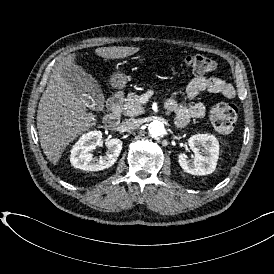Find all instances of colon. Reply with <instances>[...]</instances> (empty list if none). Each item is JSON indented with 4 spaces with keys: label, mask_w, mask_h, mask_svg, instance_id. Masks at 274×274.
<instances>
[{
    "label": "colon",
    "mask_w": 274,
    "mask_h": 274,
    "mask_svg": "<svg viewBox=\"0 0 274 274\" xmlns=\"http://www.w3.org/2000/svg\"><path fill=\"white\" fill-rule=\"evenodd\" d=\"M185 65L196 74H210L215 71V61L204 54H189L185 57ZM212 126L220 133L231 132L237 122V109L229 102H219L210 113Z\"/></svg>",
    "instance_id": "obj_1"
}]
</instances>
